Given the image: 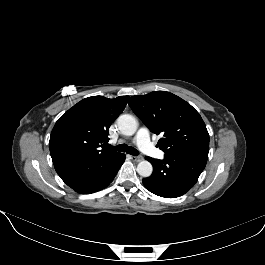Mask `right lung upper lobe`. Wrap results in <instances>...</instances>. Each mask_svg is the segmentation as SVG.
Returning <instances> with one entry per match:
<instances>
[{"instance_id": "obj_1", "label": "right lung upper lobe", "mask_w": 265, "mask_h": 265, "mask_svg": "<svg viewBox=\"0 0 265 265\" xmlns=\"http://www.w3.org/2000/svg\"><path fill=\"white\" fill-rule=\"evenodd\" d=\"M127 99L128 96L115 99L92 96L65 112L56 122L50 136L53 164L116 154L115 151L99 147L108 141L109 127L124 110Z\"/></svg>"}]
</instances>
